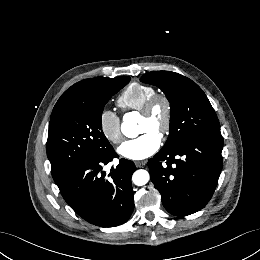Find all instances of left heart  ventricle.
I'll return each mask as SVG.
<instances>
[{"mask_svg": "<svg viewBox=\"0 0 260 260\" xmlns=\"http://www.w3.org/2000/svg\"><path fill=\"white\" fill-rule=\"evenodd\" d=\"M164 116V106L161 102L154 107L151 117L141 116L140 132L155 131L159 134V128L162 125Z\"/></svg>", "mask_w": 260, "mask_h": 260, "instance_id": "b2bd125f", "label": "left heart ventricle"}]
</instances>
